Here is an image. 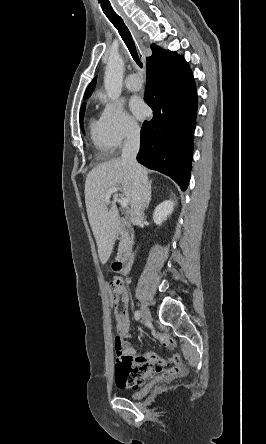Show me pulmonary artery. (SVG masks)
<instances>
[{
  "label": "pulmonary artery",
  "instance_id": "1",
  "mask_svg": "<svg viewBox=\"0 0 266 444\" xmlns=\"http://www.w3.org/2000/svg\"><path fill=\"white\" fill-rule=\"evenodd\" d=\"M126 87L131 91H138L142 87V82L138 74L132 73L127 77Z\"/></svg>",
  "mask_w": 266,
  "mask_h": 444
}]
</instances>
